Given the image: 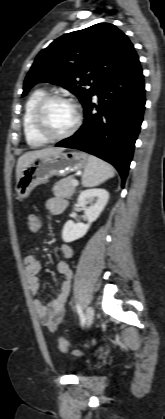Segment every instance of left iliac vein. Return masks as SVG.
<instances>
[{"instance_id": "1", "label": "left iliac vein", "mask_w": 165, "mask_h": 419, "mask_svg": "<svg viewBox=\"0 0 165 419\" xmlns=\"http://www.w3.org/2000/svg\"><path fill=\"white\" fill-rule=\"evenodd\" d=\"M85 320H86V325L87 327H89L94 320V309L92 306H88L86 309V313H85Z\"/></svg>"}]
</instances>
